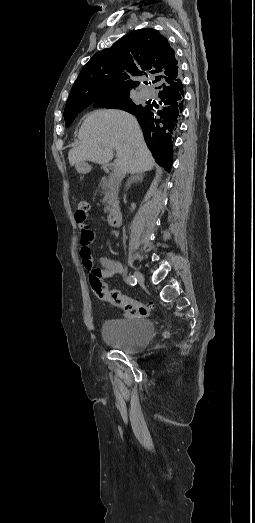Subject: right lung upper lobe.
<instances>
[{
    "label": "right lung upper lobe",
    "instance_id": "obj_1",
    "mask_svg": "<svg viewBox=\"0 0 255 523\" xmlns=\"http://www.w3.org/2000/svg\"><path fill=\"white\" fill-rule=\"evenodd\" d=\"M167 39L154 29L133 31L110 48L96 53L77 77L66 104L85 103L112 95L129 94L139 82L124 81L146 76L159 90L158 104L136 105L132 100L124 110L137 116L147 146L156 162L170 171L173 140L184 107V90L178 62ZM125 69L129 74L121 73Z\"/></svg>",
    "mask_w": 255,
    "mask_h": 523
}]
</instances>
